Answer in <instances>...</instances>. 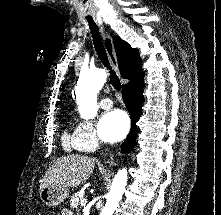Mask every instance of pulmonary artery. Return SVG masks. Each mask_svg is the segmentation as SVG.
Listing matches in <instances>:
<instances>
[{
  "label": "pulmonary artery",
  "instance_id": "pulmonary-artery-1",
  "mask_svg": "<svg viewBox=\"0 0 221 215\" xmlns=\"http://www.w3.org/2000/svg\"><path fill=\"white\" fill-rule=\"evenodd\" d=\"M100 106H101V108L107 110V109H110L113 106V102L110 98H103L100 101Z\"/></svg>",
  "mask_w": 221,
  "mask_h": 215
}]
</instances>
